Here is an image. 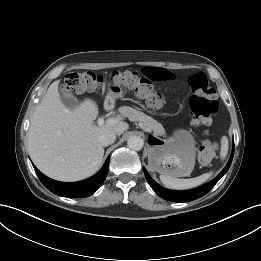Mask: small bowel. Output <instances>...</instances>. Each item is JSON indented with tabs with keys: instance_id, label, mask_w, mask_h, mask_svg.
<instances>
[{
	"instance_id": "obj_1",
	"label": "small bowel",
	"mask_w": 261,
	"mask_h": 261,
	"mask_svg": "<svg viewBox=\"0 0 261 261\" xmlns=\"http://www.w3.org/2000/svg\"><path fill=\"white\" fill-rule=\"evenodd\" d=\"M143 73L146 77L155 81H169L174 79V74L166 69L160 67L145 68Z\"/></svg>"
}]
</instances>
